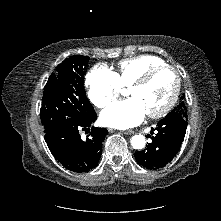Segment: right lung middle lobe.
<instances>
[{"mask_svg":"<svg viewBox=\"0 0 221 221\" xmlns=\"http://www.w3.org/2000/svg\"><path fill=\"white\" fill-rule=\"evenodd\" d=\"M88 60L89 57L82 55L65 59L49 77L40 110L45 132L94 112L83 86V70Z\"/></svg>","mask_w":221,"mask_h":221,"instance_id":"dd1d6c3e","label":"right lung middle lobe"}]
</instances>
